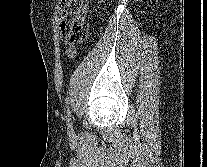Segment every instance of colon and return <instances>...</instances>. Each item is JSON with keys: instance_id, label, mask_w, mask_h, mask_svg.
Instances as JSON below:
<instances>
[{"instance_id": "colon-1", "label": "colon", "mask_w": 207, "mask_h": 167, "mask_svg": "<svg viewBox=\"0 0 207 167\" xmlns=\"http://www.w3.org/2000/svg\"><path fill=\"white\" fill-rule=\"evenodd\" d=\"M88 0H62L60 28L66 43L73 45L85 40L84 27Z\"/></svg>"}]
</instances>
